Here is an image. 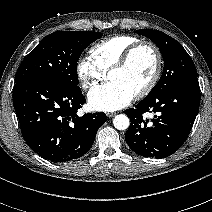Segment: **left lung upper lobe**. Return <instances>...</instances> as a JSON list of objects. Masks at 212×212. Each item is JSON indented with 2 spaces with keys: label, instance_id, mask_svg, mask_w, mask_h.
<instances>
[{
  "label": "left lung upper lobe",
  "instance_id": "5c2ea615",
  "mask_svg": "<svg viewBox=\"0 0 212 212\" xmlns=\"http://www.w3.org/2000/svg\"><path fill=\"white\" fill-rule=\"evenodd\" d=\"M136 33L155 42L164 59L162 76L148 95L164 91L183 80L197 77L191 57L178 41L158 30L141 29Z\"/></svg>",
  "mask_w": 212,
  "mask_h": 212
}]
</instances>
